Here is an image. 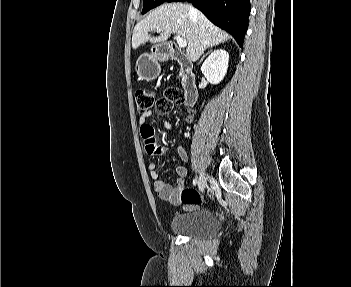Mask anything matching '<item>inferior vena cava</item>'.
<instances>
[{
  "label": "inferior vena cava",
  "mask_w": 351,
  "mask_h": 287,
  "mask_svg": "<svg viewBox=\"0 0 351 287\" xmlns=\"http://www.w3.org/2000/svg\"><path fill=\"white\" fill-rule=\"evenodd\" d=\"M190 11H191V12H194V8H193V7H191Z\"/></svg>",
  "instance_id": "inferior-vena-cava-1"
}]
</instances>
